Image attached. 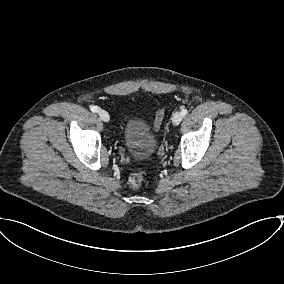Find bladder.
I'll return each mask as SVG.
<instances>
[{"label":"bladder","mask_w":284,"mask_h":284,"mask_svg":"<svg viewBox=\"0 0 284 284\" xmlns=\"http://www.w3.org/2000/svg\"><path fill=\"white\" fill-rule=\"evenodd\" d=\"M122 141L127 151L135 158H150L157 146V136L142 118L129 117L123 126Z\"/></svg>","instance_id":"31cf9c89"}]
</instances>
